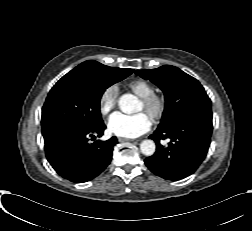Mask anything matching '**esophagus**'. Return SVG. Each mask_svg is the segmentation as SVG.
<instances>
[{
	"label": "esophagus",
	"mask_w": 252,
	"mask_h": 231,
	"mask_svg": "<svg viewBox=\"0 0 252 231\" xmlns=\"http://www.w3.org/2000/svg\"><path fill=\"white\" fill-rule=\"evenodd\" d=\"M118 141H119V142H126V141L132 142V141H134V140H133V139H127V138L119 137V138H118Z\"/></svg>",
	"instance_id": "34e87169"
}]
</instances>
